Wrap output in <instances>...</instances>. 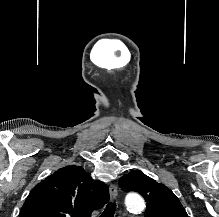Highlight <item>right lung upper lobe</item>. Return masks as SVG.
<instances>
[{
    "instance_id": "1",
    "label": "right lung upper lobe",
    "mask_w": 219,
    "mask_h": 217,
    "mask_svg": "<svg viewBox=\"0 0 219 217\" xmlns=\"http://www.w3.org/2000/svg\"><path fill=\"white\" fill-rule=\"evenodd\" d=\"M109 200L108 187L76 165L57 170L28 195L19 217H90Z\"/></svg>"
}]
</instances>
